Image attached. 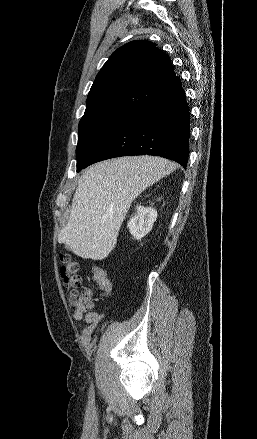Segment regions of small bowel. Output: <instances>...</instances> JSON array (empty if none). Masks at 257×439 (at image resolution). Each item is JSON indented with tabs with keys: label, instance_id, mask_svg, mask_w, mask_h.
<instances>
[{
	"label": "small bowel",
	"instance_id": "small-bowel-1",
	"mask_svg": "<svg viewBox=\"0 0 257 439\" xmlns=\"http://www.w3.org/2000/svg\"><path fill=\"white\" fill-rule=\"evenodd\" d=\"M85 303L86 306L90 309V311L84 316L85 326L81 327L82 338L85 341L90 339L92 330L94 327L102 320V316L96 311L92 310L94 307V302L92 298V292L87 291L85 293ZM84 315V311L82 309H76L74 311V318L76 320H82Z\"/></svg>",
	"mask_w": 257,
	"mask_h": 439
}]
</instances>
